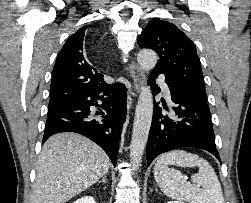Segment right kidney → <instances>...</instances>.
Segmentation results:
<instances>
[{
	"mask_svg": "<svg viewBox=\"0 0 251 203\" xmlns=\"http://www.w3.org/2000/svg\"><path fill=\"white\" fill-rule=\"evenodd\" d=\"M73 203H96L92 196H83Z\"/></svg>",
	"mask_w": 251,
	"mask_h": 203,
	"instance_id": "1",
	"label": "right kidney"
}]
</instances>
